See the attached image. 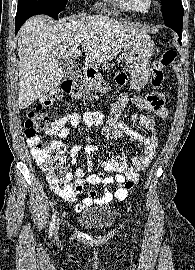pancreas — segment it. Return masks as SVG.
<instances>
[{"instance_id":"obj_1","label":"pancreas","mask_w":195,"mask_h":270,"mask_svg":"<svg viewBox=\"0 0 195 270\" xmlns=\"http://www.w3.org/2000/svg\"><path fill=\"white\" fill-rule=\"evenodd\" d=\"M112 66V65H111ZM104 67H105V69H107V66L106 65H104Z\"/></svg>"}]
</instances>
